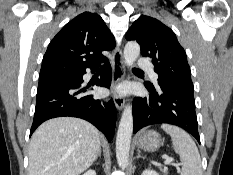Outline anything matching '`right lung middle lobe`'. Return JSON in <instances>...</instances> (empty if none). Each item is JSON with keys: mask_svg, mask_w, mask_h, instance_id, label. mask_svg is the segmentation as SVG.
<instances>
[{"mask_svg": "<svg viewBox=\"0 0 233 175\" xmlns=\"http://www.w3.org/2000/svg\"><path fill=\"white\" fill-rule=\"evenodd\" d=\"M74 77L75 75H65V76H56V77H49V78H40L38 88L44 85L50 84V83L72 79Z\"/></svg>", "mask_w": 233, "mask_h": 175, "instance_id": "1", "label": "right lung middle lobe"}]
</instances>
